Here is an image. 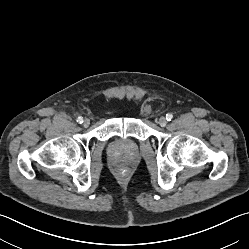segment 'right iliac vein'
<instances>
[{"label":"right iliac vein","instance_id":"right-iliac-vein-1","mask_svg":"<svg viewBox=\"0 0 249 249\" xmlns=\"http://www.w3.org/2000/svg\"><path fill=\"white\" fill-rule=\"evenodd\" d=\"M90 125V120L89 119H85L84 121H83V126L84 127H88Z\"/></svg>","mask_w":249,"mask_h":249}]
</instances>
